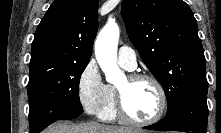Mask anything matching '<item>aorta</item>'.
<instances>
[{"mask_svg":"<svg viewBox=\"0 0 221 133\" xmlns=\"http://www.w3.org/2000/svg\"><path fill=\"white\" fill-rule=\"evenodd\" d=\"M119 27L114 22H108L100 31L95 42V56L99 66L109 83L122 79V71L117 65V46Z\"/></svg>","mask_w":221,"mask_h":133,"instance_id":"1","label":"aorta"}]
</instances>
